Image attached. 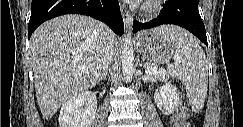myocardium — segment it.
Wrapping results in <instances>:
<instances>
[{"instance_id":"obj_1","label":"myocardium","mask_w":243,"mask_h":127,"mask_svg":"<svg viewBox=\"0 0 243 127\" xmlns=\"http://www.w3.org/2000/svg\"><path fill=\"white\" fill-rule=\"evenodd\" d=\"M160 2L161 1L159 0H151L146 2L142 7L143 12H145L146 14L156 12L159 8Z\"/></svg>"}]
</instances>
